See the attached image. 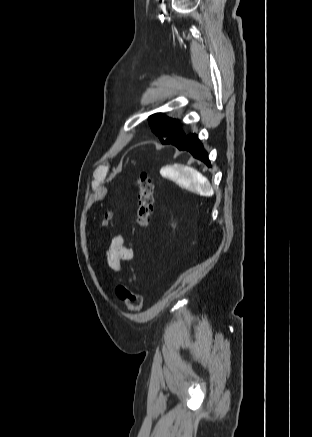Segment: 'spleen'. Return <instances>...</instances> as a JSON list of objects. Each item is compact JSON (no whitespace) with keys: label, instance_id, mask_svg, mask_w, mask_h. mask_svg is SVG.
I'll use <instances>...</instances> for the list:
<instances>
[{"label":"spleen","instance_id":"3e777b00","mask_svg":"<svg viewBox=\"0 0 312 437\" xmlns=\"http://www.w3.org/2000/svg\"><path fill=\"white\" fill-rule=\"evenodd\" d=\"M166 174L191 191L205 196L213 194V188L209 180L194 168L169 169L166 171Z\"/></svg>","mask_w":312,"mask_h":437}]
</instances>
